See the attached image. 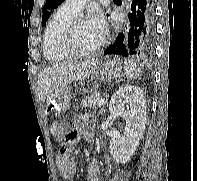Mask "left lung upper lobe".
Segmentation results:
<instances>
[{
	"instance_id": "1",
	"label": "left lung upper lobe",
	"mask_w": 197,
	"mask_h": 181,
	"mask_svg": "<svg viewBox=\"0 0 197 181\" xmlns=\"http://www.w3.org/2000/svg\"><path fill=\"white\" fill-rule=\"evenodd\" d=\"M65 0H47L45 6L43 7V16H42V26L46 23L50 17V10L58 7Z\"/></svg>"
}]
</instances>
